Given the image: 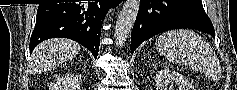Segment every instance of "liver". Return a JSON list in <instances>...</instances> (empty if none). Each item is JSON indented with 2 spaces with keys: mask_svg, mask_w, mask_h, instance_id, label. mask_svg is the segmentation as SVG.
Returning <instances> with one entry per match:
<instances>
[{
  "mask_svg": "<svg viewBox=\"0 0 237 90\" xmlns=\"http://www.w3.org/2000/svg\"><path fill=\"white\" fill-rule=\"evenodd\" d=\"M80 50V44L73 42V40H64V38L45 40L33 50L30 60L31 68L33 72L51 70L66 60H72Z\"/></svg>",
  "mask_w": 237,
  "mask_h": 90,
  "instance_id": "liver-1",
  "label": "liver"
}]
</instances>
